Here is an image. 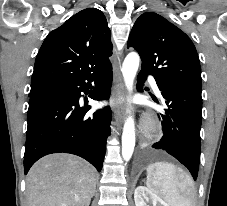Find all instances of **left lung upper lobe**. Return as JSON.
Wrapping results in <instances>:
<instances>
[{
    "mask_svg": "<svg viewBox=\"0 0 227 206\" xmlns=\"http://www.w3.org/2000/svg\"><path fill=\"white\" fill-rule=\"evenodd\" d=\"M128 46L142 60V71L155 78L202 88L199 57L191 39L156 13H144L135 22Z\"/></svg>",
    "mask_w": 227,
    "mask_h": 206,
    "instance_id": "obj_1",
    "label": "left lung upper lobe"
}]
</instances>
